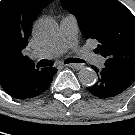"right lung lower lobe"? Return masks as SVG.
Listing matches in <instances>:
<instances>
[{
    "mask_svg": "<svg viewBox=\"0 0 135 135\" xmlns=\"http://www.w3.org/2000/svg\"><path fill=\"white\" fill-rule=\"evenodd\" d=\"M56 72V68L22 70L11 78L1 81L0 86L15 99L28 100L44 93L51 85Z\"/></svg>",
    "mask_w": 135,
    "mask_h": 135,
    "instance_id": "right-lung-lower-lobe-1",
    "label": "right lung lower lobe"
}]
</instances>
